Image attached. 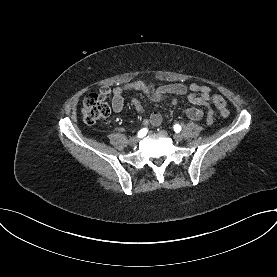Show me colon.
Returning a JSON list of instances; mask_svg holds the SVG:
<instances>
[{"label": "colon", "mask_w": 277, "mask_h": 277, "mask_svg": "<svg viewBox=\"0 0 277 277\" xmlns=\"http://www.w3.org/2000/svg\"><path fill=\"white\" fill-rule=\"evenodd\" d=\"M107 97V94L97 92L91 93L85 98L82 115L84 121L87 124H95L110 114V107L107 103ZM212 99L220 115L226 117L228 115V108L224 98L220 95H214Z\"/></svg>", "instance_id": "colon-1"}]
</instances>
